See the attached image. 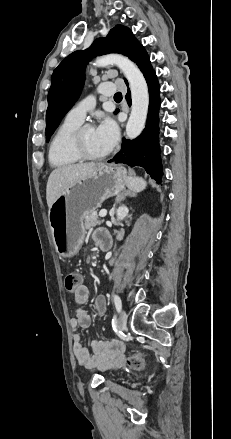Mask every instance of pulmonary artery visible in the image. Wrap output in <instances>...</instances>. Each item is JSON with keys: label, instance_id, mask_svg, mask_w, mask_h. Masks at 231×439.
<instances>
[{"label": "pulmonary artery", "instance_id": "obj_1", "mask_svg": "<svg viewBox=\"0 0 231 439\" xmlns=\"http://www.w3.org/2000/svg\"><path fill=\"white\" fill-rule=\"evenodd\" d=\"M115 84L108 82L100 84L97 88L99 94L103 96H110L115 92ZM95 107V97L88 96L82 101H80L77 105H75L67 114V117L78 121L83 122L85 116L88 111L92 110Z\"/></svg>", "mask_w": 231, "mask_h": 439}]
</instances>
